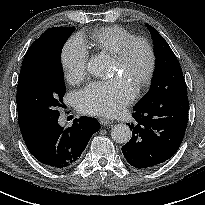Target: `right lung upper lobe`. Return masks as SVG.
<instances>
[{
    "label": "right lung upper lobe",
    "instance_id": "obj_1",
    "mask_svg": "<svg viewBox=\"0 0 205 205\" xmlns=\"http://www.w3.org/2000/svg\"><path fill=\"white\" fill-rule=\"evenodd\" d=\"M52 29V28H50ZM46 30L28 49V51L26 52V55L24 57L23 60V64L21 67V72L23 71L29 57H30V53L32 48L38 43V41L40 40V38H42L43 36H45L48 31L50 30ZM17 108H18V123H19V127L22 133V137L25 138L32 129H34L38 124L35 123L30 117L29 115L20 107V105L17 103Z\"/></svg>",
    "mask_w": 205,
    "mask_h": 205
}]
</instances>
